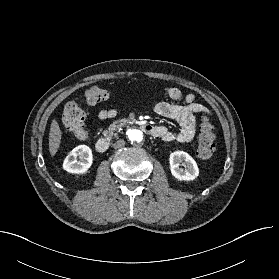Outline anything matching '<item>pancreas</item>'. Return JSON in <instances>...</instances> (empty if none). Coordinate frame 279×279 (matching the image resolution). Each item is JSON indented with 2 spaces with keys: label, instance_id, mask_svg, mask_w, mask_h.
<instances>
[{
  "label": "pancreas",
  "instance_id": "cf45deb5",
  "mask_svg": "<svg viewBox=\"0 0 279 279\" xmlns=\"http://www.w3.org/2000/svg\"><path fill=\"white\" fill-rule=\"evenodd\" d=\"M123 126V124H121V123H119L118 121H115V122H113L110 126H109V128H108V130H104L103 131V135L105 136V137H108V138H112L113 136H115V137H117V131L119 130V128L120 127H122Z\"/></svg>",
  "mask_w": 279,
  "mask_h": 279
}]
</instances>
